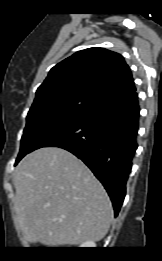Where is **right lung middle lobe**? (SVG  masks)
Returning a JSON list of instances; mask_svg holds the SVG:
<instances>
[{
	"instance_id": "1",
	"label": "right lung middle lobe",
	"mask_w": 162,
	"mask_h": 261,
	"mask_svg": "<svg viewBox=\"0 0 162 261\" xmlns=\"http://www.w3.org/2000/svg\"><path fill=\"white\" fill-rule=\"evenodd\" d=\"M100 104L99 101L79 92L35 99L27 115L17 160L33 151L39 142L55 129Z\"/></svg>"
}]
</instances>
